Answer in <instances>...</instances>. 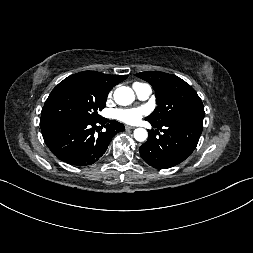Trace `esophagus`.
<instances>
[{
	"mask_svg": "<svg viewBox=\"0 0 253 253\" xmlns=\"http://www.w3.org/2000/svg\"><path fill=\"white\" fill-rule=\"evenodd\" d=\"M125 129H126V130H132V129H135V127H133V126H128V125H127V126H125Z\"/></svg>",
	"mask_w": 253,
	"mask_h": 253,
	"instance_id": "1",
	"label": "esophagus"
}]
</instances>
